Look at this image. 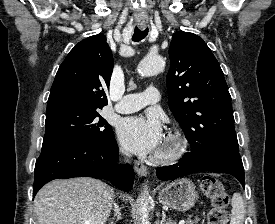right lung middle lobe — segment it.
I'll return each instance as SVG.
<instances>
[{
  "label": "right lung middle lobe",
  "instance_id": "right-lung-middle-lobe-1",
  "mask_svg": "<svg viewBox=\"0 0 275 224\" xmlns=\"http://www.w3.org/2000/svg\"><path fill=\"white\" fill-rule=\"evenodd\" d=\"M47 143H92L109 137L113 131L99 110L65 108L46 114Z\"/></svg>",
  "mask_w": 275,
  "mask_h": 224
}]
</instances>
